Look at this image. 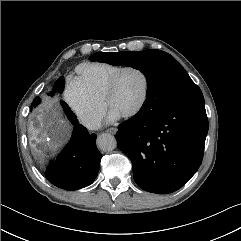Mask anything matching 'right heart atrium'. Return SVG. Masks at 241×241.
Wrapping results in <instances>:
<instances>
[{
    "instance_id": "d8ad5b80",
    "label": "right heart atrium",
    "mask_w": 241,
    "mask_h": 241,
    "mask_svg": "<svg viewBox=\"0 0 241 241\" xmlns=\"http://www.w3.org/2000/svg\"><path fill=\"white\" fill-rule=\"evenodd\" d=\"M65 99L77 119L88 129H95L105 112L102 101L95 99L77 80H71L65 90Z\"/></svg>"
}]
</instances>
